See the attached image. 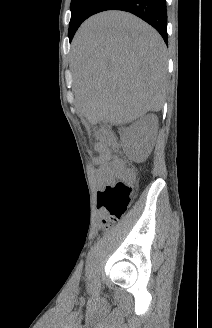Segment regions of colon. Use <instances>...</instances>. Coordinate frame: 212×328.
Listing matches in <instances>:
<instances>
[{
    "instance_id": "5ec220e1",
    "label": "colon",
    "mask_w": 212,
    "mask_h": 328,
    "mask_svg": "<svg viewBox=\"0 0 212 328\" xmlns=\"http://www.w3.org/2000/svg\"><path fill=\"white\" fill-rule=\"evenodd\" d=\"M97 137L106 147H115L114 136L107 131H99ZM122 177L130 179L132 171L129 168L122 169ZM133 197V188L128 183L119 181L105 186L98 192L97 205L101 212V223L110 226L119 220L126 212Z\"/></svg>"
}]
</instances>
